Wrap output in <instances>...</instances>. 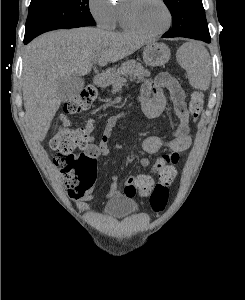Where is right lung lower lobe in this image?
<instances>
[{
  "label": "right lung lower lobe",
  "instance_id": "obj_1",
  "mask_svg": "<svg viewBox=\"0 0 245 300\" xmlns=\"http://www.w3.org/2000/svg\"><path fill=\"white\" fill-rule=\"evenodd\" d=\"M30 41H31L30 39H24L25 44L29 43Z\"/></svg>",
  "mask_w": 245,
  "mask_h": 300
}]
</instances>
